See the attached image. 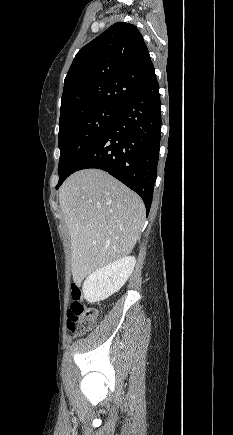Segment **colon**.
<instances>
[{"instance_id": "1", "label": "colon", "mask_w": 233, "mask_h": 435, "mask_svg": "<svg viewBox=\"0 0 233 435\" xmlns=\"http://www.w3.org/2000/svg\"><path fill=\"white\" fill-rule=\"evenodd\" d=\"M82 285L75 282L71 286V308L68 313V329L71 337H80L91 331L98 319V311L88 308L82 302Z\"/></svg>"}]
</instances>
